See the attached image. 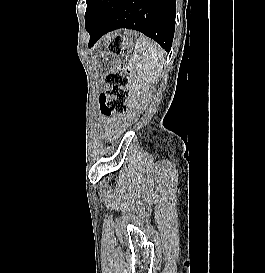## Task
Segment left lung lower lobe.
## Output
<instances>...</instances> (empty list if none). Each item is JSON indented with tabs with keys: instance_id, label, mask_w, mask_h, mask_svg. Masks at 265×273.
Here are the masks:
<instances>
[{
	"instance_id": "left-lung-lower-lobe-1",
	"label": "left lung lower lobe",
	"mask_w": 265,
	"mask_h": 273,
	"mask_svg": "<svg viewBox=\"0 0 265 273\" xmlns=\"http://www.w3.org/2000/svg\"><path fill=\"white\" fill-rule=\"evenodd\" d=\"M85 27L89 47L118 28L134 29L170 51L175 29L176 0H87Z\"/></svg>"
}]
</instances>
